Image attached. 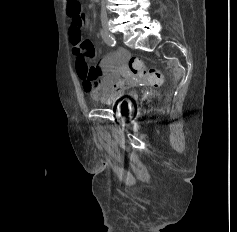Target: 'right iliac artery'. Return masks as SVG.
<instances>
[{
	"label": "right iliac artery",
	"instance_id": "1",
	"mask_svg": "<svg viewBox=\"0 0 237 232\" xmlns=\"http://www.w3.org/2000/svg\"><path fill=\"white\" fill-rule=\"evenodd\" d=\"M100 33L106 44H108L109 46L116 45L115 39L110 34H108L105 30L101 29Z\"/></svg>",
	"mask_w": 237,
	"mask_h": 232
}]
</instances>
